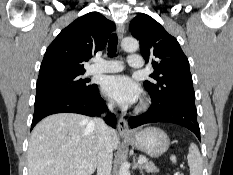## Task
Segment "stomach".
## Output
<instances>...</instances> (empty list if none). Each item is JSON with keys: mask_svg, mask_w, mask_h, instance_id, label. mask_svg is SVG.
Segmentation results:
<instances>
[{"mask_svg": "<svg viewBox=\"0 0 233 175\" xmlns=\"http://www.w3.org/2000/svg\"><path fill=\"white\" fill-rule=\"evenodd\" d=\"M124 138L136 148L154 158L164 154L170 145L168 135L157 127L137 130L132 136H124Z\"/></svg>", "mask_w": 233, "mask_h": 175, "instance_id": "1", "label": "stomach"}]
</instances>
